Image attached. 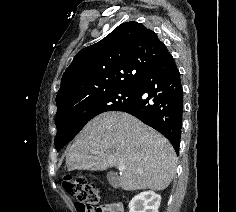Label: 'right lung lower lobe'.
Instances as JSON below:
<instances>
[{
	"mask_svg": "<svg viewBox=\"0 0 236 212\" xmlns=\"http://www.w3.org/2000/svg\"><path fill=\"white\" fill-rule=\"evenodd\" d=\"M134 99L118 108L163 134L179 152L183 116L180 73L166 50L137 84Z\"/></svg>",
	"mask_w": 236,
	"mask_h": 212,
	"instance_id": "obj_1",
	"label": "right lung lower lobe"
}]
</instances>
